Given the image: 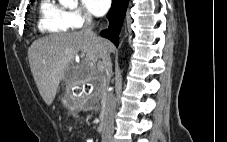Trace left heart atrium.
Instances as JSON below:
<instances>
[{
	"mask_svg": "<svg viewBox=\"0 0 227 142\" xmlns=\"http://www.w3.org/2000/svg\"><path fill=\"white\" fill-rule=\"evenodd\" d=\"M84 7L95 16L104 15L111 5V0H82Z\"/></svg>",
	"mask_w": 227,
	"mask_h": 142,
	"instance_id": "1",
	"label": "left heart atrium"
}]
</instances>
